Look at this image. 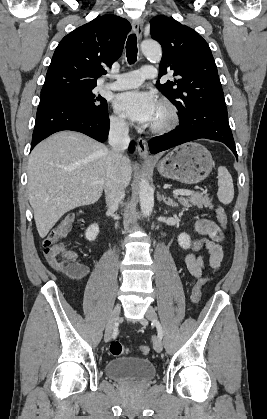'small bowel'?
<instances>
[{"label": "small bowel", "instance_id": "1", "mask_svg": "<svg viewBox=\"0 0 267 419\" xmlns=\"http://www.w3.org/2000/svg\"><path fill=\"white\" fill-rule=\"evenodd\" d=\"M196 231L200 237L193 241L192 252L185 257V264L190 274L199 279L205 269L204 259L201 255H197L202 248H206L209 253V264L212 268L217 269L221 265L223 259V248L221 245L222 234L217 224L211 220L202 219L195 225ZM87 274L86 268L76 276L78 280L83 279Z\"/></svg>", "mask_w": 267, "mask_h": 419}]
</instances>
